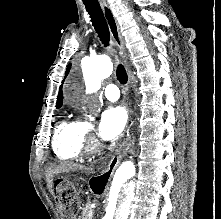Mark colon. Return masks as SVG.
<instances>
[{
    "label": "colon",
    "instance_id": "colon-1",
    "mask_svg": "<svg viewBox=\"0 0 221 219\" xmlns=\"http://www.w3.org/2000/svg\"><path fill=\"white\" fill-rule=\"evenodd\" d=\"M58 192L62 196L63 199H67L72 201L73 203L77 201L76 192L70 188L68 185L62 184L58 187Z\"/></svg>",
    "mask_w": 221,
    "mask_h": 219
}]
</instances>
